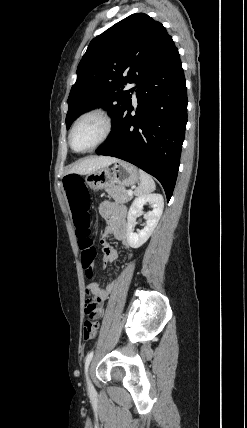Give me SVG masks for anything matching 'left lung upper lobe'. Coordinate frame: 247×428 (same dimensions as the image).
<instances>
[{"instance_id": "1", "label": "left lung upper lobe", "mask_w": 247, "mask_h": 428, "mask_svg": "<svg viewBox=\"0 0 247 428\" xmlns=\"http://www.w3.org/2000/svg\"><path fill=\"white\" fill-rule=\"evenodd\" d=\"M175 48L163 25L145 13L132 14L94 38L68 97L67 129L81 113L98 107L118 120L134 91L125 85H138Z\"/></svg>"}]
</instances>
